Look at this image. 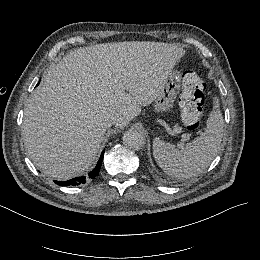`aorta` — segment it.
I'll return each instance as SVG.
<instances>
[{
  "mask_svg": "<svg viewBox=\"0 0 260 260\" xmlns=\"http://www.w3.org/2000/svg\"><path fill=\"white\" fill-rule=\"evenodd\" d=\"M146 138L144 134L138 130L130 129L123 135V143L130 149L140 150L144 147Z\"/></svg>",
  "mask_w": 260,
  "mask_h": 260,
  "instance_id": "762f6f07",
  "label": "aorta"
}]
</instances>
